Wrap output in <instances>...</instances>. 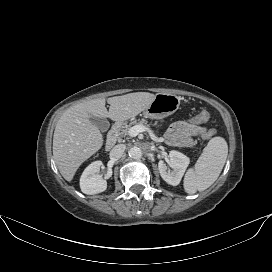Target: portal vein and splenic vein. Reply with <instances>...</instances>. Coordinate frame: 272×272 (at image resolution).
I'll use <instances>...</instances> for the list:
<instances>
[{
  "mask_svg": "<svg viewBox=\"0 0 272 272\" xmlns=\"http://www.w3.org/2000/svg\"><path fill=\"white\" fill-rule=\"evenodd\" d=\"M147 128L144 125H135L130 128L129 135L136 137L139 133L146 131Z\"/></svg>",
  "mask_w": 272,
  "mask_h": 272,
  "instance_id": "1",
  "label": "portal vein and splenic vein"
}]
</instances>
